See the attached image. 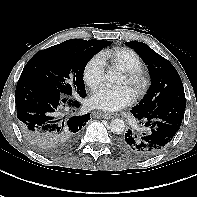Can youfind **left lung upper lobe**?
<instances>
[{"label":"left lung upper lobe","mask_w":197,"mask_h":197,"mask_svg":"<svg viewBox=\"0 0 197 197\" xmlns=\"http://www.w3.org/2000/svg\"><path fill=\"white\" fill-rule=\"evenodd\" d=\"M143 59L148 67L151 85L144 98L132 108L135 113L146 114L164 102L185 100L181 78L174 66L147 44L126 42Z\"/></svg>","instance_id":"left-lung-upper-lobe-1"}]
</instances>
